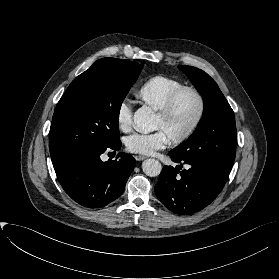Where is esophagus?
Returning <instances> with one entry per match:
<instances>
[{"instance_id":"1","label":"esophagus","mask_w":279,"mask_h":279,"mask_svg":"<svg viewBox=\"0 0 279 279\" xmlns=\"http://www.w3.org/2000/svg\"><path fill=\"white\" fill-rule=\"evenodd\" d=\"M135 159H136L137 161H142V160L146 159V156H143V155H136V156H135Z\"/></svg>"}]
</instances>
